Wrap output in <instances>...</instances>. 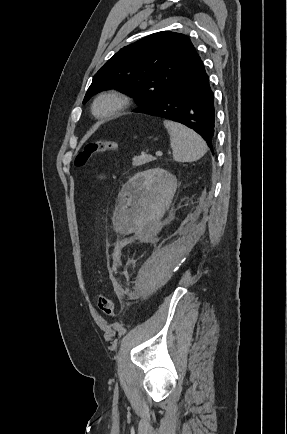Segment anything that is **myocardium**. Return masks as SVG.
I'll return each mask as SVG.
<instances>
[{
	"instance_id": "obj_1",
	"label": "myocardium",
	"mask_w": 287,
	"mask_h": 434,
	"mask_svg": "<svg viewBox=\"0 0 287 434\" xmlns=\"http://www.w3.org/2000/svg\"><path fill=\"white\" fill-rule=\"evenodd\" d=\"M128 104L126 95L117 90H108L94 98L91 110L96 118L109 119L120 115Z\"/></svg>"
}]
</instances>
